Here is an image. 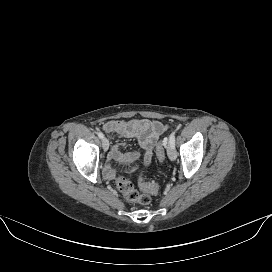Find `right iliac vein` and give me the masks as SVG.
<instances>
[{
    "label": "right iliac vein",
    "mask_w": 272,
    "mask_h": 272,
    "mask_svg": "<svg viewBox=\"0 0 272 272\" xmlns=\"http://www.w3.org/2000/svg\"><path fill=\"white\" fill-rule=\"evenodd\" d=\"M102 147H103V149H104L105 151L108 150V148H109V140H108L107 138H103V139H102Z\"/></svg>",
    "instance_id": "right-iliac-vein-1"
}]
</instances>
